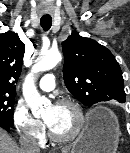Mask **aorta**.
Returning a JSON list of instances; mask_svg holds the SVG:
<instances>
[{
  "label": "aorta",
  "mask_w": 130,
  "mask_h": 153,
  "mask_svg": "<svg viewBox=\"0 0 130 153\" xmlns=\"http://www.w3.org/2000/svg\"><path fill=\"white\" fill-rule=\"evenodd\" d=\"M62 59L58 51H49L40 55L23 84V95L34 116L44 113L51 105L48 98L41 96L34 82V74L54 68Z\"/></svg>",
  "instance_id": "obj_1"
}]
</instances>
